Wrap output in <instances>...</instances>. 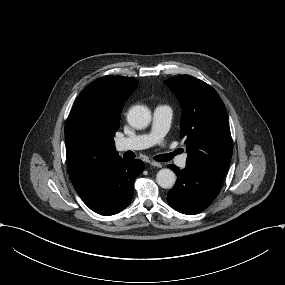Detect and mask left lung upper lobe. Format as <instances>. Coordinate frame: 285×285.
Segmentation results:
<instances>
[{
    "instance_id": "left-lung-upper-lobe-1",
    "label": "left lung upper lobe",
    "mask_w": 285,
    "mask_h": 285,
    "mask_svg": "<svg viewBox=\"0 0 285 285\" xmlns=\"http://www.w3.org/2000/svg\"><path fill=\"white\" fill-rule=\"evenodd\" d=\"M182 107L180 135L186 165L223 180L232 157L227 112L217 91L190 75L165 80Z\"/></svg>"
}]
</instances>
